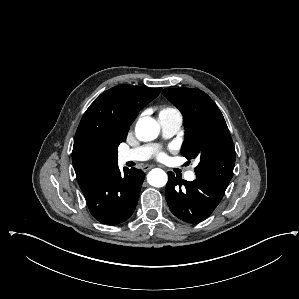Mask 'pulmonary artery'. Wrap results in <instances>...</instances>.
Instances as JSON below:
<instances>
[{"label":"pulmonary artery","instance_id":"e3ab8cb5","mask_svg":"<svg viewBox=\"0 0 299 299\" xmlns=\"http://www.w3.org/2000/svg\"><path fill=\"white\" fill-rule=\"evenodd\" d=\"M158 120L161 125L163 136L166 138L175 135L182 125V116L177 111L160 112ZM153 150V147L150 145H144L133 149L124 150L119 153V162L126 163L128 161L147 160L153 153ZM184 177L188 181H194L196 178L193 169L186 171Z\"/></svg>","mask_w":299,"mask_h":299}]
</instances>
